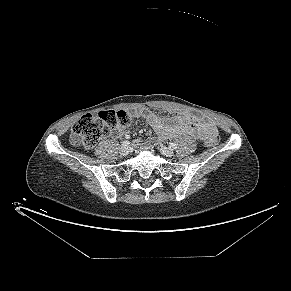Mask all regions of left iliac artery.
<instances>
[{
	"instance_id": "44dca946",
	"label": "left iliac artery",
	"mask_w": 291,
	"mask_h": 291,
	"mask_svg": "<svg viewBox=\"0 0 291 291\" xmlns=\"http://www.w3.org/2000/svg\"><path fill=\"white\" fill-rule=\"evenodd\" d=\"M169 147L171 149H176L177 148V144L176 143H170Z\"/></svg>"
}]
</instances>
